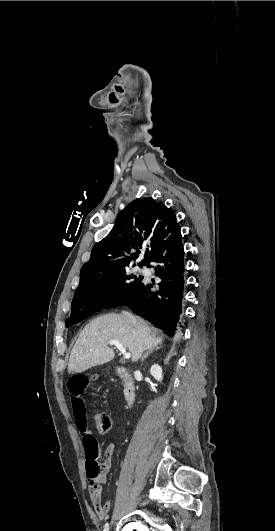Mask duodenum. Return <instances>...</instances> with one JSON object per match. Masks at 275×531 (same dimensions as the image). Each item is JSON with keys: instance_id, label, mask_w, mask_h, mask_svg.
Segmentation results:
<instances>
[{"instance_id": "obj_1", "label": "duodenum", "mask_w": 275, "mask_h": 531, "mask_svg": "<svg viewBox=\"0 0 275 531\" xmlns=\"http://www.w3.org/2000/svg\"><path fill=\"white\" fill-rule=\"evenodd\" d=\"M116 372L123 380L124 400L126 405L130 408L134 404L136 397V386L132 378V371L127 366H118Z\"/></svg>"}]
</instances>
